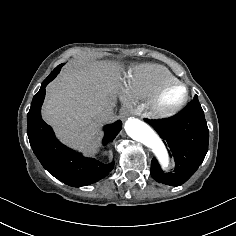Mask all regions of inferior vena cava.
<instances>
[{
  "label": "inferior vena cava",
  "instance_id": "obj_1",
  "mask_svg": "<svg viewBox=\"0 0 236 236\" xmlns=\"http://www.w3.org/2000/svg\"><path fill=\"white\" fill-rule=\"evenodd\" d=\"M99 114L101 115V119L103 121H112L114 119L113 117V111L111 108H106V109H103L99 112Z\"/></svg>",
  "mask_w": 236,
  "mask_h": 236
}]
</instances>
